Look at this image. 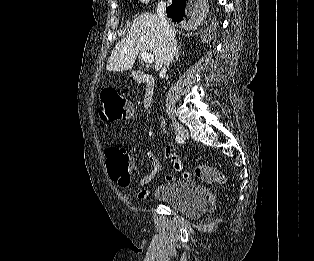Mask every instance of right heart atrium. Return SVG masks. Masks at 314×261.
<instances>
[{
	"label": "right heart atrium",
	"instance_id": "obj_1",
	"mask_svg": "<svg viewBox=\"0 0 314 261\" xmlns=\"http://www.w3.org/2000/svg\"><path fill=\"white\" fill-rule=\"evenodd\" d=\"M140 1V3H142V4H147V3H149L151 0H139Z\"/></svg>",
	"mask_w": 314,
	"mask_h": 261
}]
</instances>
